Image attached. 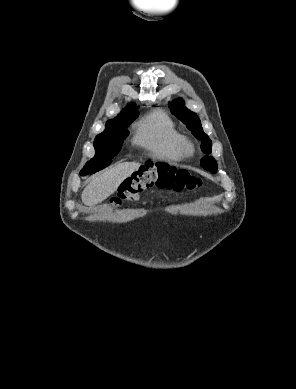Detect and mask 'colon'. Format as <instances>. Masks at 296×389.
<instances>
[{
    "label": "colon",
    "instance_id": "5ec220e1",
    "mask_svg": "<svg viewBox=\"0 0 296 389\" xmlns=\"http://www.w3.org/2000/svg\"><path fill=\"white\" fill-rule=\"evenodd\" d=\"M201 180L188 171L164 163L146 162L121 184L113 205L135 201L140 194L151 187L174 191L193 190L200 187Z\"/></svg>",
    "mask_w": 296,
    "mask_h": 389
}]
</instances>
